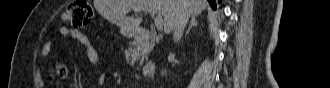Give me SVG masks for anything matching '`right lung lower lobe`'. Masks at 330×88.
Listing matches in <instances>:
<instances>
[{"mask_svg":"<svg viewBox=\"0 0 330 88\" xmlns=\"http://www.w3.org/2000/svg\"><path fill=\"white\" fill-rule=\"evenodd\" d=\"M208 1L213 9H216V2L217 3L221 2V0H208Z\"/></svg>","mask_w":330,"mask_h":88,"instance_id":"98d812e1","label":"right lung lower lobe"}]
</instances>
